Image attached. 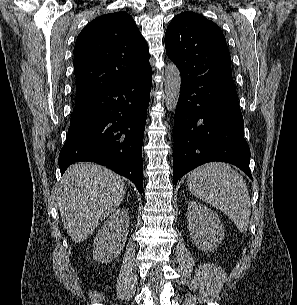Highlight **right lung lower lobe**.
Instances as JSON below:
<instances>
[{
    "label": "right lung lower lobe",
    "instance_id": "98d812e1",
    "mask_svg": "<svg viewBox=\"0 0 297 305\" xmlns=\"http://www.w3.org/2000/svg\"><path fill=\"white\" fill-rule=\"evenodd\" d=\"M152 69L110 85L76 104L59 154L61 174L79 161L96 162L143 191L142 143Z\"/></svg>",
    "mask_w": 297,
    "mask_h": 305
}]
</instances>
